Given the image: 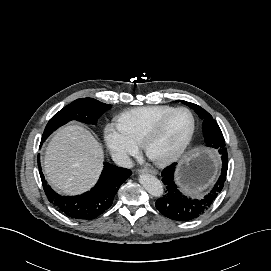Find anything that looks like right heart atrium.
Here are the masks:
<instances>
[{"label":"right heart atrium","instance_id":"obj_1","mask_svg":"<svg viewBox=\"0 0 271 271\" xmlns=\"http://www.w3.org/2000/svg\"><path fill=\"white\" fill-rule=\"evenodd\" d=\"M104 139L111 154L119 161L127 163L138 152V145L115 125H107Z\"/></svg>","mask_w":271,"mask_h":271}]
</instances>
